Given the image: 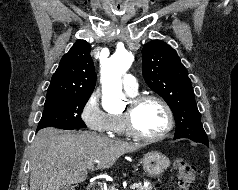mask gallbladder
Here are the masks:
<instances>
[{
	"instance_id": "obj_1",
	"label": "gallbladder",
	"mask_w": 238,
	"mask_h": 190,
	"mask_svg": "<svg viewBox=\"0 0 238 190\" xmlns=\"http://www.w3.org/2000/svg\"><path fill=\"white\" fill-rule=\"evenodd\" d=\"M61 190H75V186H73V185H66Z\"/></svg>"
}]
</instances>
